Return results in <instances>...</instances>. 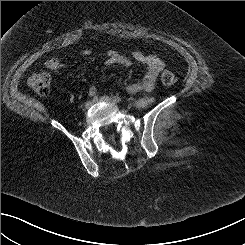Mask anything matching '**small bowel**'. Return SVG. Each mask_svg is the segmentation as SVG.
<instances>
[{
    "label": "small bowel",
    "mask_w": 245,
    "mask_h": 245,
    "mask_svg": "<svg viewBox=\"0 0 245 245\" xmlns=\"http://www.w3.org/2000/svg\"><path fill=\"white\" fill-rule=\"evenodd\" d=\"M89 51H83V54L88 55ZM133 63L140 64L144 67L145 73L142 80L122 84L121 87L128 93H138V92H150L154 89L156 79L160 72L164 69L163 61L156 55L145 54L140 50L132 51L129 55L121 54L118 51L110 50L107 52V58L105 64L107 65H123L130 66ZM45 67L53 72L65 75L69 78H75V74L72 70H67L64 65H62L60 57H52L45 62ZM97 89L95 86L90 87L89 95H95Z\"/></svg>",
    "instance_id": "1"
}]
</instances>
